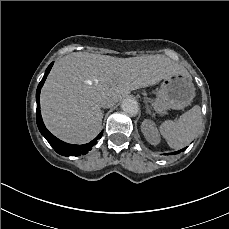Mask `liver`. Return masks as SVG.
Instances as JSON below:
<instances>
[{
    "label": "liver",
    "mask_w": 229,
    "mask_h": 229,
    "mask_svg": "<svg viewBox=\"0 0 229 229\" xmlns=\"http://www.w3.org/2000/svg\"><path fill=\"white\" fill-rule=\"evenodd\" d=\"M174 74L190 75L164 55L115 58L72 53L56 62L41 90L43 121L59 139L87 143L101 130L102 102L113 106L132 90Z\"/></svg>",
    "instance_id": "obj_1"
}]
</instances>
